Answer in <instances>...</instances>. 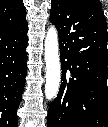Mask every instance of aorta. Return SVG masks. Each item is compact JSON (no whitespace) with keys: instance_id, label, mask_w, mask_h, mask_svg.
I'll list each match as a JSON object with an SVG mask.
<instances>
[{"instance_id":"obj_1","label":"aorta","mask_w":108,"mask_h":127,"mask_svg":"<svg viewBox=\"0 0 108 127\" xmlns=\"http://www.w3.org/2000/svg\"><path fill=\"white\" fill-rule=\"evenodd\" d=\"M44 47L46 62L45 96L51 100L58 93L61 78L58 34L54 26H51L47 31Z\"/></svg>"}]
</instances>
